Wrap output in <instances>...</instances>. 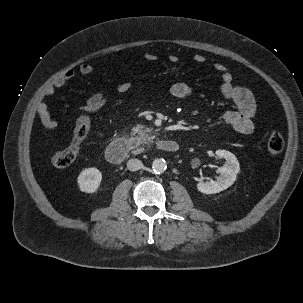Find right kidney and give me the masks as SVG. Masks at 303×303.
Wrapping results in <instances>:
<instances>
[{
    "label": "right kidney",
    "instance_id": "ca27d5eb",
    "mask_svg": "<svg viewBox=\"0 0 303 303\" xmlns=\"http://www.w3.org/2000/svg\"><path fill=\"white\" fill-rule=\"evenodd\" d=\"M102 174L97 168H86L77 178L79 189L85 193H95L101 183Z\"/></svg>",
    "mask_w": 303,
    "mask_h": 303
}]
</instances>
